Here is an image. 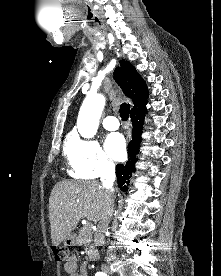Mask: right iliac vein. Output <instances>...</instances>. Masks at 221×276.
Listing matches in <instances>:
<instances>
[{
  "label": "right iliac vein",
  "mask_w": 221,
  "mask_h": 276,
  "mask_svg": "<svg viewBox=\"0 0 221 276\" xmlns=\"http://www.w3.org/2000/svg\"><path fill=\"white\" fill-rule=\"evenodd\" d=\"M103 270H104L105 272H108V271H109V269H108L107 267H103Z\"/></svg>",
  "instance_id": "obj_1"
}]
</instances>
